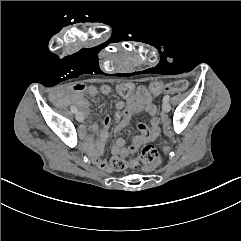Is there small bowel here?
<instances>
[{
	"mask_svg": "<svg viewBox=\"0 0 241 241\" xmlns=\"http://www.w3.org/2000/svg\"><path fill=\"white\" fill-rule=\"evenodd\" d=\"M112 92L113 89L108 84L96 87L94 85H84L80 83L69 89L60 91L57 96L59 97V103H67L74 100L79 109L83 113H87L89 110V103L82 97L84 93H87L90 96H96L99 93L109 96ZM156 96H158V94L153 95L149 92L146 94L135 93V96L132 99H126V104L122 101L116 103L117 109L123 110V113L120 122L113 130L115 134H119L123 131V129L129 124L133 113L145 111L151 116V118L149 124L144 122H138L136 124L140 134L136 136L129 145H126L123 138H118L111 148L112 155L125 158L129 154L137 151L142 145L153 142L160 135V118L158 116V109L153 103V98ZM110 124L111 119L109 117H105L102 121V129L99 130L96 126L94 127V131L98 133L97 141L90 142V146L93 150L92 160L102 169H108L109 163L106 160L99 158L98 153L101 152L108 138ZM83 134L89 137L86 131H83Z\"/></svg>",
	"mask_w": 241,
	"mask_h": 241,
	"instance_id": "small-bowel-1",
	"label": "small bowel"
}]
</instances>
